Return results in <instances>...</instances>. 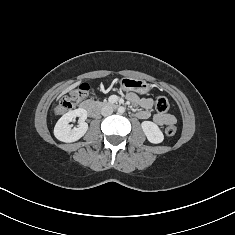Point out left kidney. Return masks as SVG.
Masks as SVG:
<instances>
[{
	"label": "left kidney",
	"mask_w": 235,
	"mask_h": 235,
	"mask_svg": "<svg viewBox=\"0 0 235 235\" xmlns=\"http://www.w3.org/2000/svg\"><path fill=\"white\" fill-rule=\"evenodd\" d=\"M141 127L149 142L158 144L164 140L162 131L155 123L151 121H143L141 123Z\"/></svg>",
	"instance_id": "5707ae66"
}]
</instances>
